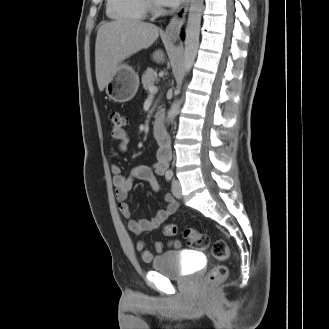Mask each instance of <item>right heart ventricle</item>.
<instances>
[{
	"label": "right heart ventricle",
	"instance_id": "1",
	"mask_svg": "<svg viewBox=\"0 0 329 329\" xmlns=\"http://www.w3.org/2000/svg\"><path fill=\"white\" fill-rule=\"evenodd\" d=\"M107 13L110 17L121 20L143 21L147 10L143 0H107Z\"/></svg>",
	"mask_w": 329,
	"mask_h": 329
}]
</instances>
